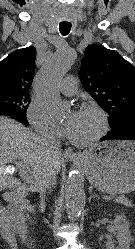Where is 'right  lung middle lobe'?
Returning a JSON list of instances; mask_svg holds the SVG:
<instances>
[{
  "mask_svg": "<svg viewBox=\"0 0 135 249\" xmlns=\"http://www.w3.org/2000/svg\"><path fill=\"white\" fill-rule=\"evenodd\" d=\"M29 102V92L0 91V108L12 110L25 117Z\"/></svg>",
  "mask_w": 135,
  "mask_h": 249,
  "instance_id": "dd1d6c3e",
  "label": "right lung middle lobe"
}]
</instances>
